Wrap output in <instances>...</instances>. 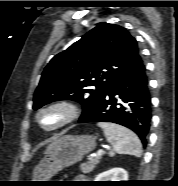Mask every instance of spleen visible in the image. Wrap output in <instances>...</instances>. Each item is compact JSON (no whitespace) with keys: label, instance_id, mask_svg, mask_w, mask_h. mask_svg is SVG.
I'll return each mask as SVG.
<instances>
[{"label":"spleen","instance_id":"1","mask_svg":"<svg viewBox=\"0 0 178 186\" xmlns=\"http://www.w3.org/2000/svg\"><path fill=\"white\" fill-rule=\"evenodd\" d=\"M98 126L104 131L107 141L112 145L109 155L115 153L128 154L140 157L142 154V144L137 135L131 130L114 123L99 122Z\"/></svg>","mask_w":178,"mask_h":186}]
</instances>
